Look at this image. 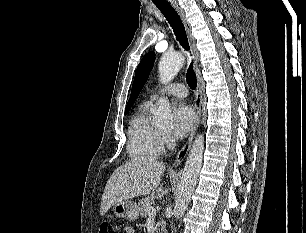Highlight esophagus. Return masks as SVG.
Listing matches in <instances>:
<instances>
[{"label": "esophagus", "mask_w": 306, "mask_h": 233, "mask_svg": "<svg viewBox=\"0 0 306 233\" xmlns=\"http://www.w3.org/2000/svg\"><path fill=\"white\" fill-rule=\"evenodd\" d=\"M174 9L176 10V12L178 13V15L180 16L185 30H186V34H187V38L189 41V45L193 54V60H194V67L196 69V73H197V88H196V92H195V113H196V117H195V122L193 125V128L191 130L190 136L187 140V142L185 143V145L182 147V149L178 152L174 162H173V166L174 167H178L182 164V162L184 161L186 155L188 154L194 135L197 131V128L199 126L200 123V118H201V106H202V80H201V75L200 72L198 70V60H199V53L196 47V43H195V39L192 36L191 33V25L188 22L185 13L183 11V9L181 7H179L177 4H173Z\"/></svg>", "instance_id": "34e87169"}]
</instances>
